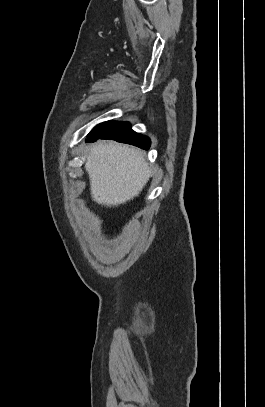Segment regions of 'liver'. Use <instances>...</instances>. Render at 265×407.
<instances>
[{
	"label": "liver",
	"mask_w": 265,
	"mask_h": 407,
	"mask_svg": "<svg viewBox=\"0 0 265 407\" xmlns=\"http://www.w3.org/2000/svg\"><path fill=\"white\" fill-rule=\"evenodd\" d=\"M85 169L92 199L108 207L138 196L151 176L141 150L112 141H99L90 149Z\"/></svg>",
	"instance_id": "liver-1"
}]
</instances>
